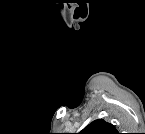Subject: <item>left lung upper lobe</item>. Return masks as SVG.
Returning a JSON list of instances; mask_svg holds the SVG:
<instances>
[{"instance_id":"5c2ea615","label":"left lung upper lobe","mask_w":145,"mask_h":134,"mask_svg":"<svg viewBox=\"0 0 145 134\" xmlns=\"http://www.w3.org/2000/svg\"><path fill=\"white\" fill-rule=\"evenodd\" d=\"M81 134H118L114 125L98 119L87 125L81 132Z\"/></svg>"}]
</instances>
